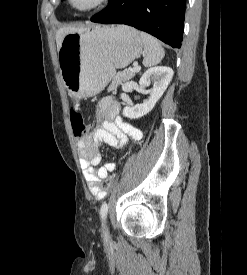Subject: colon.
Masks as SVG:
<instances>
[{"instance_id":"1","label":"colon","mask_w":247,"mask_h":275,"mask_svg":"<svg viewBox=\"0 0 247 275\" xmlns=\"http://www.w3.org/2000/svg\"><path fill=\"white\" fill-rule=\"evenodd\" d=\"M70 121H71V127H72L74 137L77 140H81L84 137L87 130L83 115L81 114L80 111L73 108L71 110ZM113 181H114V175L110 176L103 182L102 189L108 192L113 185Z\"/></svg>"}]
</instances>
